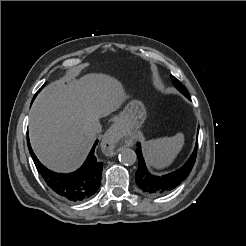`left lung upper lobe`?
Here are the masks:
<instances>
[{"instance_id":"1","label":"left lung upper lobe","mask_w":246,"mask_h":246,"mask_svg":"<svg viewBox=\"0 0 246 246\" xmlns=\"http://www.w3.org/2000/svg\"><path fill=\"white\" fill-rule=\"evenodd\" d=\"M171 78H172V80H173L174 86H175L179 91H181L186 97H189L188 91H187L186 88L179 82V80L176 79L174 76H171Z\"/></svg>"}]
</instances>
